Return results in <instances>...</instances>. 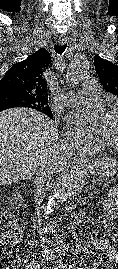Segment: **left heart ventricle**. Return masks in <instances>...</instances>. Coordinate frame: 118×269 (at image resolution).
Returning a JSON list of instances; mask_svg holds the SVG:
<instances>
[{"mask_svg": "<svg viewBox=\"0 0 118 269\" xmlns=\"http://www.w3.org/2000/svg\"><path fill=\"white\" fill-rule=\"evenodd\" d=\"M97 132L100 138L118 143V112L107 114L99 123Z\"/></svg>", "mask_w": 118, "mask_h": 269, "instance_id": "b2bd125f", "label": "left heart ventricle"}]
</instances>
